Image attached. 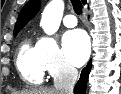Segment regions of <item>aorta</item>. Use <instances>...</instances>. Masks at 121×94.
I'll use <instances>...</instances> for the list:
<instances>
[{
  "label": "aorta",
  "mask_w": 121,
  "mask_h": 94,
  "mask_svg": "<svg viewBox=\"0 0 121 94\" xmlns=\"http://www.w3.org/2000/svg\"><path fill=\"white\" fill-rule=\"evenodd\" d=\"M64 12L63 0H51L42 12L41 26L47 35L55 34L62 20Z\"/></svg>",
  "instance_id": "762f6f07"
}]
</instances>
